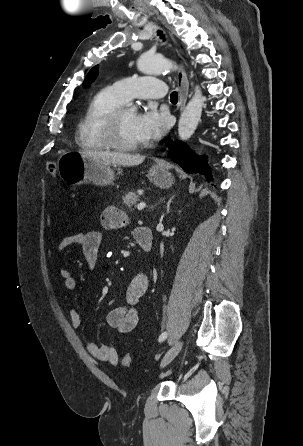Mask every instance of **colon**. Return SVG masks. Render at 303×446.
<instances>
[{
  "mask_svg": "<svg viewBox=\"0 0 303 446\" xmlns=\"http://www.w3.org/2000/svg\"><path fill=\"white\" fill-rule=\"evenodd\" d=\"M47 168L51 175H53V176L57 175V167L53 162H51V161L47 162ZM131 362H132V359H131V355L129 353H125L120 357V363L124 367H129L131 365Z\"/></svg>",
  "mask_w": 303,
  "mask_h": 446,
  "instance_id": "obj_1",
  "label": "colon"
}]
</instances>
